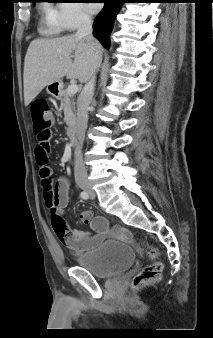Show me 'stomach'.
Segmentation results:
<instances>
[{
  "label": "stomach",
  "instance_id": "0dacf381",
  "mask_svg": "<svg viewBox=\"0 0 213 338\" xmlns=\"http://www.w3.org/2000/svg\"><path fill=\"white\" fill-rule=\"evenodd\" d=\"M61 90V82L57 81L47 85V92L52 96H56L58 92Z\"/></svg>",
  "mask_w": 213,
  "mask_h": 338
}]
</instances>
